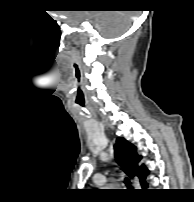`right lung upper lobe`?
<instances>
[{
	"instance_id": "cb5924a9",
	"label": "right lung upper lobe",
	"mask_w": 194,
	"mask_h": 202,
	"mask_svg": "<svg viewBox=\"0 0 194 202\" xmlns=\"http://www.w3.org/2000/svg\"><path fill=\"white\" fill-rule=\"evenodd\" d=\"M114 148L118 164L126 170V173L130 177L137 176L140 179L142 187L146 188L147 184L144 180L148 174V170L144 165L138 166L141 157L137 154L136 147L124 138L119 137Z\"/></svg>"
}]
</instances>
